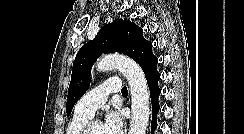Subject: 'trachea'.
Segmentation results:
<instances>
[{"label": "trachea", "mask_w": 244, "mask_h": 134, "mask_svg": "<svg viewBox=\"0 0 244 134\" xmlns=\"http://www.w3.org/2000/svg\"><path fill=\"white\" fill-rule=\"evenodd\" d=\"M121 92L123 95H127L128 94L127 87H123Z\"/></svg>", "instance_id": "1"}]
</instances>
